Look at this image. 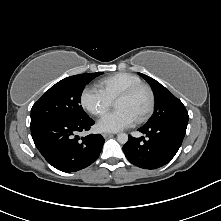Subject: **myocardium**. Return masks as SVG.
<instances>
[{"label":"myocardium","instance_id":"obj_1","mask_svg":"<svg viewBox=\"0 0 221 221\" xmlns=\"http://www.w3.org/2000/svg\"><path fill=\"white\" fill-rule=\"evenodd\" d=\"M140 90H145L148 93L149 104H148L146 111L139 118L136 119L137 123H142V122L146 121L152 115V113L154 111L155 95H154L152 88L145 83H139V84H136V85H133V86L127 88L126 90L121 92L117 96V98L115 99V101H117L119 99L129 98Z\"/></svg>","mask_w":221,"mask_h":221}]
</instances>
